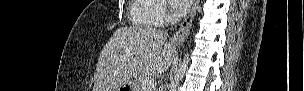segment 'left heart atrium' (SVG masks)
Returning a JSON list of instances; mask_svg holds the SVG:
<instances>
[{
    "mask_svg": "<svg viewBox=\"0 0 304 91\" xmlns=\"http://www.w3.org/2000/svg\"><path fill=\"white\" fill-rule=\"evenodd\" d=\"M171 8L177 13H183L190 7V0H170Z\"/></svg>",
    "mask_w": 304,
    "mask_h": 91,
    "instance_id": "1",
    "label": "left heart atrium"
}]
</instances>
